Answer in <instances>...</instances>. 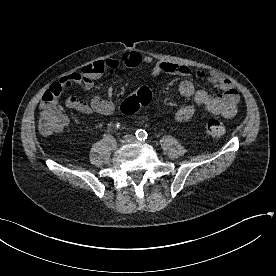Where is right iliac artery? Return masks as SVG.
Listing matches in <instances>:
<instances>
[{
    "instance_id": "right-iliac-artery-1",
    "label": "right iliac artery",
    "mask_w": 276,
    "mask_h": 276,
    "mask_svg": "<svg viewBox=\"0 0 276 276\" xmlns=\"http://www.w3.org/2000/svg\"><path fill=\"white\" fill-rule=\"evenodd\" d=\"M119 125H117L118 127ZM104 140L107 142V143H110L112 141H114V138L110 135V134H104Z\"/></svg>"
}]
</instances>
